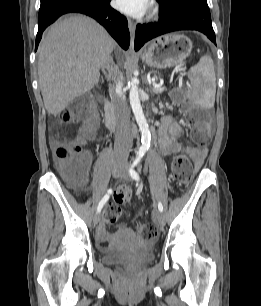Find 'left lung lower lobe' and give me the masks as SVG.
<instances>
[{"label":"left lung lower lobe","mask_w":261,"mask_h":306,"mask_svg":"<svg viewBox=\"0 0 261 306\" xmlns=\"http://www.w3.org/2000/svg\"><path fill=\"white\" fill-rule=\"evenodd\" d=\"M160 20L157 23L138 24L135 50L145 42L162 34L178 30H198L216 44L207 0H162Z\"/></svg>","instance_id":"left-lung-lower-lobe-1"}]
</instances>
